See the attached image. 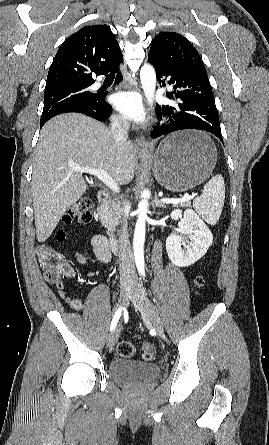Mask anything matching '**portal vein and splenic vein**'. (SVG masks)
<instances>
[{
  "label": "portal vein and splenic vein",
  "instance_id": "obj_1",
  "mask_svg": "<svg viewBox=\"0 0 269 445\" xmlns=\"http://www.w3.org/2000/svg\"><path fill=\"white\" fill-rule=\"evenodd\" d=\"M74 170L96 176L106 186H108L113 192L119 193L118 184L104 169L75 167ZM196 195L197 194L189 195L188 193H185L181 198H178V199L164 198V199H161L160 201L163 203L182 204V203L188 202L189 200L195 198Z\"/></svg>",
  "mask_w": 269,
  "mask_h": 445
}]
</instances>
